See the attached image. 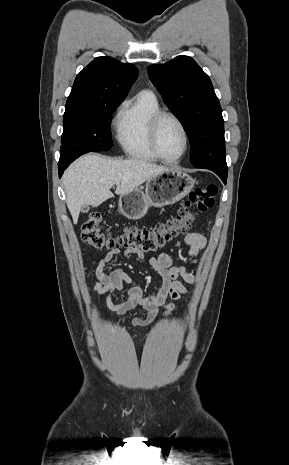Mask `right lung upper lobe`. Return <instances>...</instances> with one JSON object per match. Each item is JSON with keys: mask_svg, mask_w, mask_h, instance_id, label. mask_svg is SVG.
<instances>
[{"mask_svg": "<svg viewBox=\"0 0 289 465\" xmlns=\"http://www.w3.org/2000/svg\"><path fill=\"white\" fill-rule=\"evenodd\" d=\"M137 76L138 69L132 64L97 57L77 75L64 114L84 113L99 104L124 100Z\"/></svg>", "mask_w": 289, "mask_h": 465, "instance_id": "1", "label": "right lung upper lobe"}]
</instances>
